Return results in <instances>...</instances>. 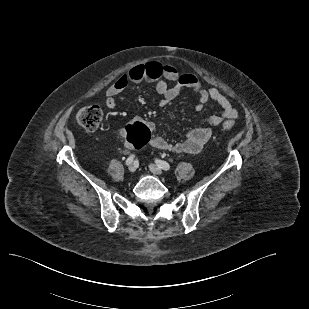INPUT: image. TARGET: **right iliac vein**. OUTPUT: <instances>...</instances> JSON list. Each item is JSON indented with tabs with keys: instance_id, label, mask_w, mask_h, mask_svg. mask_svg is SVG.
Masks as SVG:
<instances>
[{
	"instance_id": "right-iliac-vein-1",
	"label": "right iliac vein",
	"mask_w": 309,
	"mask_h": 309,
	"mask_svg": "<svg viewBox=\"0 0 309 309\" xmlns=\"http://www.w3.org/2000/svg\"><path fill=\"white\" fill-rule=\"evenodd\" d=\"M129 171L130 172H135L136 171V165L135 164H131L130 166H129Z\"/></svg>"
}]
</instances>
